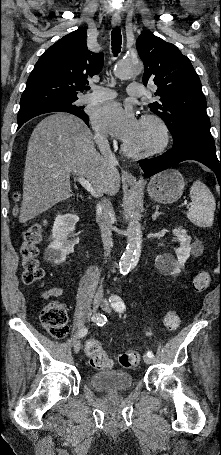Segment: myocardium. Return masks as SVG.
I'll return each instance as SVG.
<instances>
[{"mask_svg": "<svg viewBox=\"0 0 221 455\" xmlns=\"http://www.w3.org/2000/svg\"><path fill=\"white\" fill-rule=\"evenodd\" d=\"M140 123H150L156 129L158 139L150 146L143 148H136L124 142L122 145L123 151L132 157H147L163 152L170 140L169 128L166 122L156 114H145L141 117Z\"/></svg>", "mask_w": 221, "mask_h": 455, "instance_id": "myocardium-1", "label": "myocardium"}]
</instances>
